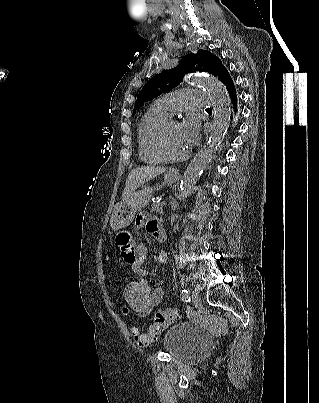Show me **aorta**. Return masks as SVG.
Instances as JSON below:
<instances>
[{
  "label": "aorta",
  "instance_id": "aorta-1",
  "mask_svg": "<svg viewBox=\"0 0 319 403\" xmlns=\"http://www.w3.org/2000/svg\"><path fill=\"white\" fill-rule=\"evenodd\" d=\"M190 85L203 87L211 97L214 110V126L207 144L197 153L184 172L180 185L186 193L198 180L209 164L219 145L224 140L230 123V99L225 86L213 76L194 77L187 80Z\"/></svg>",
  "mask_w": 319,
  "mask_h": 403
}]
</instances>
